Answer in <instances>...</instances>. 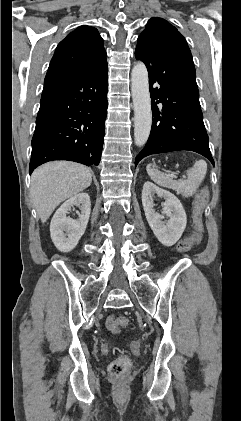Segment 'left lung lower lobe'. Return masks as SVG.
<instances>
[{
	"label": "left lung lower lobe",
	"mask_w": 241,
	"mask_h": 421,
	"mask_svg": "<svg viewBox=\"0 0 241 421\" xmlns=\"http://www.w3.org/2000/svg\"><path fill=\"white\" fill-rule=\"evenodd\" d=\"M135 56L149 72L153 116L149 139L135 165L148 155L178 150L197 152L214 165L191 53L139 37Z\"/></svg>",
	"instance_id": "obj_1"
}]
</instances>
